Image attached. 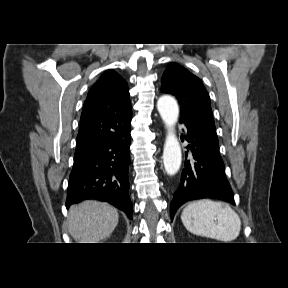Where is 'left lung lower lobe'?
<instances>
[{
    "instance_id": "left-lung-lower-lobe-1",
    "label": "left lung lower lobe",
    "mask_w": 288,
    "mask_h": 288,
    "mask_svg": "<svg viewBox=\"0 0 288 288\" xmlns=\"http://www.w3.org/2000/svg\"><path fill=\"white\" fill-rule=\"evenodd\" d=\"M180 123L186 126L182 140L186 138L190 143L187 149H190L193 160L185 162L180 185L170 205L171 220L177 209L189 200L216 198L234 205V194L225 176L218 139L193 122L180 119ZM185 155L187 157L188 153Z\"/></svg>"
}]
</instances>
